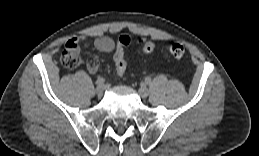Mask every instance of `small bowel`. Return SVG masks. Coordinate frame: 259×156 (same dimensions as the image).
Segmentation results:
<instances>
[{
	"label": "small bowel",
	"mask_w": 259,
	"mask_h": 156,
	"mask_svg": "<svg viewBox=\"0 0 259 156\" xmlns=\"http://www.w3.org/2000/svg\"><path fill=\"white\" fill-rule=\"evenodd\" d=\"M91 44L94 45L96 49H98L101 52H111L115 48V42L112 38L108 36H99L95 38L93 41H91L86 36H77L69 39L66 43V47L72 48L76 52L79 51L80 46H90ZM98 62L95 59H91L87 63V68L91 73H94L98 69Z\"/></svg>",
	"instance_id": "1"
}]
</instances>
